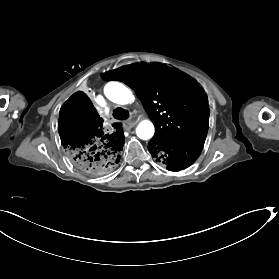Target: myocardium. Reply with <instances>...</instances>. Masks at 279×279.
Returning <instances> with one entry per match:
<instances>
[{
  "mask_svg": "<svg viewBox=\"0 0 279 279\" xmlns=\"http://www.w3.org/2000/svg\"><path fill=\"white\" fill-rule=\"evenodd\" d=\"M98 133H99L100 135L106 134L105 128H102V126H100V127H99Z\"/></svg>",
  "mask_w": 279,
  "mask_h": 279,
  "instance_id": "f54148a6",
  "label": "myocardium"
}]
</instances>
